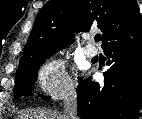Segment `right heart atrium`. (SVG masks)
Masks as SVG:
<instances>
[{"mask_svg":"<svg viewBox=\"0 0 142 119\" xmlns=\"http://www.w3.org/2000/svg\"><path fill=\"white\" fill-rule=\"evenodd\" d=\"M37 82L40 90L54 99L71 96L76 89L64 62L59 59H51L40 68Z\"/></svg>","mask_w":142,"mask_h":119,"instance_id":"obj_1","label":"right heart atrium"}]
</instances>
